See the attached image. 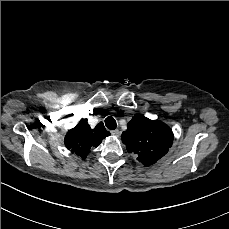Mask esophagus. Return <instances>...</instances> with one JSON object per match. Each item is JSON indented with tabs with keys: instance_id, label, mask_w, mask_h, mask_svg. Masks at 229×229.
I'll list each match as a JSON object with an SVG mask.
<instances>
[{
	"instance_id": "esophagus-1",
	"label": "esophagus",
	"mask_w": 229,
	"mask_h": 229,
	"mask_svg": "<svg viewBox=\"0 0 229 229\" xmlns=\"http://www.w3.org/2000/svg\"><path fill=\"white\" fill-rule=\"evenodd\" d=\"M111 134L114 135V136H116V137H119L120 132H119L118 129H116V130H112V131H111Z\"/></svg>"
}]
</instances>
